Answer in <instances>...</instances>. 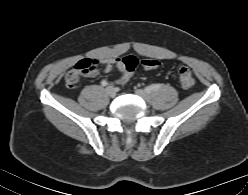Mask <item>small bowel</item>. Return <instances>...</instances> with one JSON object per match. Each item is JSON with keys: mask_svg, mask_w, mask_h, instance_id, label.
<instances>
[{"mask_svg": "<svg viewBox=\"0 0 248 195\" xmlns=\"http://www.w3.org/2000/svg\"><path fill=\"white\" fill-rule=\"evenodd\" d=\"M113 68H117L121 74V81L124 77V68L121 58H101L93 60L90 64V70L85 74L87 77H95L102 71L108 72Z\"/></svg>", "mask_w": 248, "mask_h": 195, "instance_id": "1", "label": "small bowel"}]
</instances>
